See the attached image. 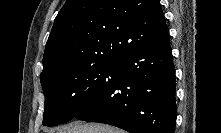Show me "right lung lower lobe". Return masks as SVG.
Wrapping results in <instances>:
<instances>
[{"label": "right lung lower lobe", "mask_w": 221, "mask_h": 133, "mask_svg": "<svg viewBox=\"0 0 221 133\" xmlns=\"http://www.w3.org/2000/svg\"><path fill=\"white\" fill-rule=\"evenodd\" d=\"M175 68L169 38L118 57L75 118L130 133H174Z\"/></svg>", "instance_id": "98d812e1"}]
</instances>
